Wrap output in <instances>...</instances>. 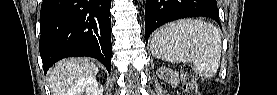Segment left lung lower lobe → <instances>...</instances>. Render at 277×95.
<instances>
[{"instance_id": "1", "label": "left lung lower lobe", "mask_w": 277, "mask_h": 95, "mask_svg": "<svg viewBox=\"0 0 277 95\" xmlns=\"http://www.w3.org/2000/svg\"><path fill=\"white\" fill-rule=\"evenodd\" d=\"M206 16L219 23L216 0H146L145 35L172 20Z\"/></svg>"}]
</instances>
